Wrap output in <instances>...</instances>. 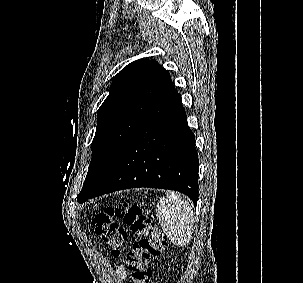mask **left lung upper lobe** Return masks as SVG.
<instances>
[{"instance_id":"obj_1","label":"left lung upper lobe","mask_w":303,"mask_h":283,"mask_svg":"<svg viewBox=\"0 0 303 283\" xmlns=\"http://www.w3.org/2000/svg\"><path fill=\"white\" fill-rule=\"evenodd\" d=\"M168 76L155 60L142 59L131 62L114 77L111 91L98 110L92 160L79 194L98 189L109 177Z\"/></svg>"}]
</instances>
